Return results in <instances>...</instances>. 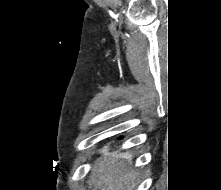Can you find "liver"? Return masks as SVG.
Listing matches in <instances>:
<instances>
[{
    "instance_id": "6515ba94",
    "label": "liver",
    "mask_w": 221,
    "mask_h": 190,
    "mask_svg": "<svg viewBox=\"0 0 221 190\" xmlns=\"http://www.w3.org/2000/svg\"><path fill=\"white\" fill-rule=\"evenodd\" d=\"M137 174L117 154H104L92 169L88 186L101 190H133Z\"/></svg>"
}]
</instances>
